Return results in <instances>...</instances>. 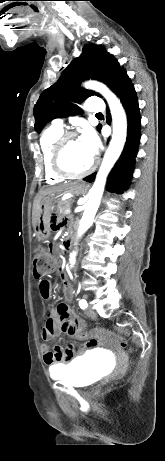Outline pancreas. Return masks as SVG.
Returning a JSON list of instances; mask_svg holds the SVG:
<instances>
[{"instance_id":"obj_1","label":"pancreas","mask_w":165,"mask_h":461,"mask_svg":"<svg viewBox=\"0 0 165 461\" xmlns=\"http://www.w3.org/2000/svg\"><path fill=\"white\" fill-rule=\"evenodd\" d=\"M72 204L71 200H66V201H60L57 205V212L59 215V218H62L65 215V210L70 208Z\"/></svg>"}]
</instances>
